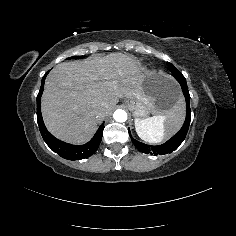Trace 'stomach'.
I'll use <instances>...</instances> for the list:
<instances>
[{
  "instance_id": "0dacf381",
  "label": "stomach",
  "mask_w": 236,
  "mask_h": 236,
  "mask_svg": "<svg viewBox=\"0 0 236 236\" xmlns=\"http://www.w3.org/2000/svg\"><path fill=\"white\" fill-rule=\"evenodd\" d=\"M183 101V94L176 80L161 71L147 73L140 83L139 96L127 97L124 102L134 118H147L150 113L169 114Z\"/></svg>"
}]
</instances>
